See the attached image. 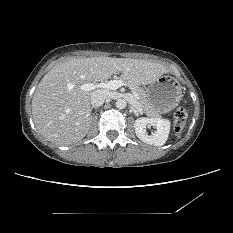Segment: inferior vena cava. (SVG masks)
Masks as SVG:
<instances>
[{
  "mask_svg": "<svg viewBox=\"0 0 233 233\" xmlns=\"http://www.w3.org/2000/svg\"><path fill=\"white\" fill-rule=\"evenodd\" d=\"M109 97H110V92L108 90L98 89V90L93 91L90 101H91L92 106L99 107Z\"/></svg>",
  "mask_w": 233,
  "mask_h": 233,
  "instance_id": "1",
  "label": "inferior vena cava"
}]
</instances>
